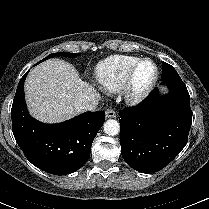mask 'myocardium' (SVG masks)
<instances>
[{"instance_id":"myocardium-1","label":"myocardium","mask_w":209,"mask_h":209,"mask_svg":"<svg viewBox=\"0 0 209 209\" xmlns=\"http://www.w3.org/2000/svg\"><path fill=\"white\" fill-rule=\"evenodd\" d=\"M144 62L152 63L155 72L151 82L147 86L140 88L136 85L135 78L139 67ZM158 78H159V69L157 64L150 58L140 59L130 70L127 81L123 87L126 101L131 104H138L143 100H145L155 88Z\"/></svg>"}]
</instances>
